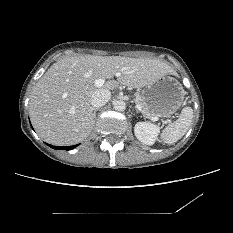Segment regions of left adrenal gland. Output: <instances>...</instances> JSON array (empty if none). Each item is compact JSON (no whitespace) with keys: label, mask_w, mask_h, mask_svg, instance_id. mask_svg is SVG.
Masks as SVG:
<instances>
[{"label":"left adrenal gland","mask_w":233,"mask_h":233,"mask_svg":"<svg viewBox=\"0 0 233 233\" xmlns=\"http://www.w3.org/2000/svg\"><path fill=\"white\" fill-rule=\"evenodd\" d=\"M134 109L136 110L137 113H139V110L136 107Z\"/></svg>","instance_id":"left-adrenal-gland-1"}]
</instances>
